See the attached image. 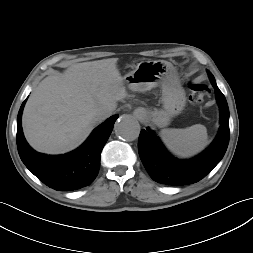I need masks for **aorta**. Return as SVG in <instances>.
<instances>
[{
	"label": "aorta",
	"instance_id": "obj_1",
	"mask_svg": "<svg viewBox=\"0 0 253 253\" xmlns=\"http://www.w3.org/2000/svg\"><path fill=\"white\" fill-rule=\"evenodd\" d=\"M114 131L119 138L133 141L137 139L140 134V124L132 116H122L116 121Z\"/></svg>",
	"mask_w": 253,
	"mask_h": 253
}]
</instances>
